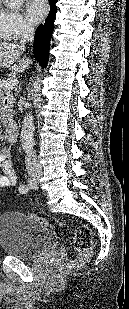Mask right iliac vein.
Wrapping results in <instances>:
<instances>
[{
	"mask_svg": "<svg viewBox=\"0 0 129 309\" xmlns=\"http://www.w3.org/2000/svg\"><path fill=\"white\" fill-rule=\"evenodd\" d=\"M28 183H29V186L31 188H37L38 186V178L36 177H31L29 180H28Z\"/></svg>",
	"mask_w": 129,
	"mask_h": 309,
	"instance_id": "obj_1",
	"label": "right iliac vein"
}]
</instances>
